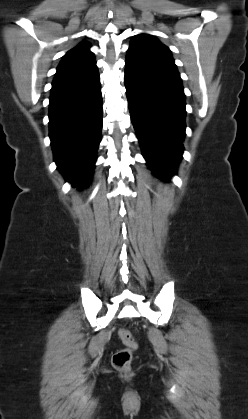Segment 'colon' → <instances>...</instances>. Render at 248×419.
<instances>
[{
  "label": "colon",
  "instance_id": "5ec220e1",
  "mask_svg": "<svg viewBox=\"0 0 248 419\" xmlns=\"http://www.w3.org/2000/svg\"><path fill=\"white\" fill-rule=\"evenodd\" d=\"M119 337L124 344V348L117 350L112 356V364L119 371H127L130 368L133 353L138 347V343L133 335L126 329L119 331Z\"/></svg>",
  "mask_w": 248,
  "mask_h": 419
}]
</instances>
